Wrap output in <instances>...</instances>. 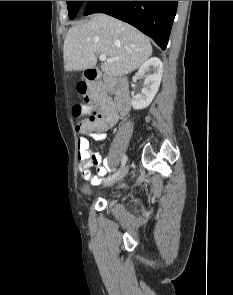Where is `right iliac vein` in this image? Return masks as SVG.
<instances>
[{
    "instance_id": "obj_1",
    "label": "right iliac vein",
    "mask_w": 233,
    "mask_h": 295,
    "mask_svg": "<svg viewBox=\"0 0 233 295\" xmlns=\"http://www.w3.org/2000/svg\"><path fill=\"white\" fill-rule=\"evenodd\" d=\"M128 169H129V167H128V165H127V166H125V167L123 168V170H122L117 176H115L114 178H112V179H108V178H106V179L103 181L104 186H111V185L117 183L118 181L122 180V179L124 178V176L127 174Z\"/></svg>"
}]
</instances>
